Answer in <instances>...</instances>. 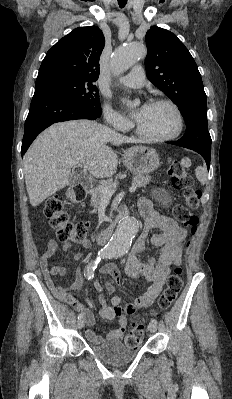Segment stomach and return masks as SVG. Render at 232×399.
<instances>
[{
    "instance_id": "1",
    "label": "stomach",
    "mask_w": 232,
    "mask_h": 399,
    "mask_svg": "<svg viewBox=\"0 0 232 399\" xmlns=\"http://www.w3.org/2000/svg\"><path fill=\"white\" fill-rule=\"evenodd\" d=\"M122 162L132 174H148L159 168L161 162L157 150L145 146H133L125 152Z\"/></svg>"
}]
</instances>
